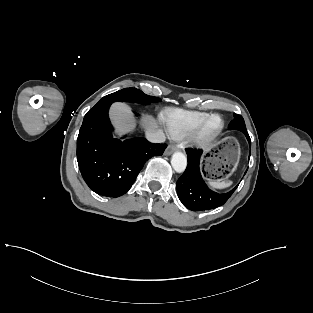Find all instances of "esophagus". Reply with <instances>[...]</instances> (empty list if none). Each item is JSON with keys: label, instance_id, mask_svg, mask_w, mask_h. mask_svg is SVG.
<instances>
[{"label": "esophagus", "instance_id": "obj_1", "mask_svg": "<svg viewBox=\"0 0 313 313\" xmlns=\"http://www.w3.org/2000/svg\"><path fill=\"white\" fill-rule=\"evenodd\" d=\"M177 149V145H169L165 150V155H171Z\"/></svg>", "mask_w": 313, "mask_h": 313}]
</instances>
